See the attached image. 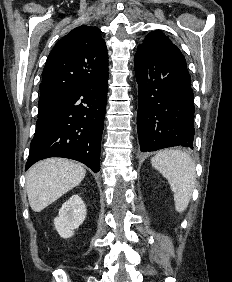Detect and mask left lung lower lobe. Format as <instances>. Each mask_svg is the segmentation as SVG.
Here are the masks:
<instances>
[{
  "label": "left lung lower lobe",
  "instance_id": "0a47b994",
  "mask_svg": "<svg viewBox=\"0 0 232 282\" xmlns=\"http://www.w3.org/2000/svg\"><path fill=\"white\" fill-rule=\"evenodd\" d=\"M138 83L137 129L140 149H193L194 102L190 75L173 43L138 46L134 57Z\"/></svg>",
  "mask_w": 232,
  "mask_h": 282
}]
</instances>
